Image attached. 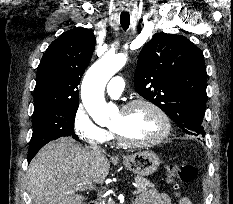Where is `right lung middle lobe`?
<instances>
[{"instance_id": "right-lung-middle-lobe-1", "label": "right lung middle lobe", "mask_w": 233, "mask_h": 204, "mask_svg": "<svg viewBox=\"0 0 233 204\" xmlns=\"http://www.w3.org/2000/svg\"><path fill=\"white\" fill-rule=\"evenodd\" d=\"M78 104L51 106L34 111L33 134L29 148H41L49 141L63 136L78 140L74 133V120Z\"/></svg>"}]
</instances>
